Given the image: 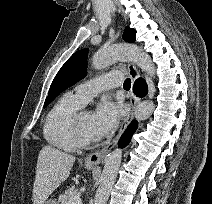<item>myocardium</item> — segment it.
I'll list each match as a JSON object with an SVG mask.
<instances>
[{"mask_svg": "<svg viewBox=\"0 0 212 204\" xmlns=\"http://www.w3.org/2000/svg\"><path fill=\"white\" fill-rule=\"evenodd\" d=\"M87 111L80 109L72 118L71 130L74 140L78 147L81 148H91L95 145L96 140H91L85 136L81 128V116Z\"/></svg>", "mask_w": 212, "mask_h": 204, "instance_id": "obj_1", "label": "myocardium"}]
</instances>
